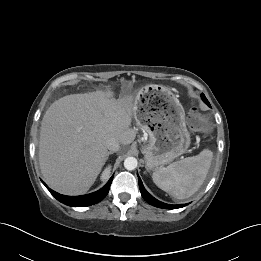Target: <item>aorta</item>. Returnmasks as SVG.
I'll return each mask as SVG.
<instances>
[{
    "label": "aorta",
    "instance_id": "aorta-1",
    "mask_svg": "<svg viewBox=\"0 0 261 261\" xmlns=\"http://www.w3.org/2000/svg\"><path fill=\"white\" fill-rule=\"evenodd\" d=\"M138 161L135 157H127L124 160V167L127 170H134L137 167Z\"/></svg>",
    "mask_w": 261,
    "mask_h": 261
}]
</instances>
